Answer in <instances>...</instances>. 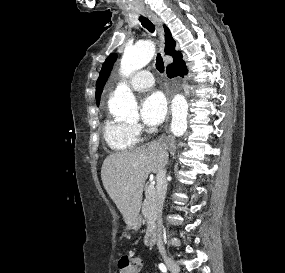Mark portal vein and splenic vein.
<instances>
[{
  "label": "portal vein and splenic vein",
  "mask_w": 285,
  "mask_h": 273,
  "mask_svg": "<svg viewBox=\"0 0 285 273\" xmlns=\"http://www.w3.org/2000/svg\"><path fill=\"white\" fill-rule=\"evenodd\" d=\"M149 188H150V189H154V186H153V185H151Z\"/></svg>",
  "instance_id": "portal-vein-and-splenic-vein-1"
}]
</instances>
